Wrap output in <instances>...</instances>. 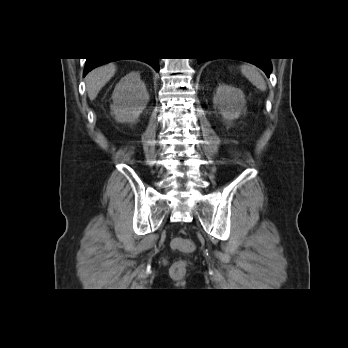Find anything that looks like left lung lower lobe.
I'll list each match as a JSON object with an SVG mask.
<instances>
[{
    "instance_id": "left-lung-lower-lobe-1",
    "label": "left lung lower lobe",
    "mask_w": 348,
    "mask_h": 348,
    "mask_svg": "<svg viewBox=\"0 0 348 348\" xmlns=\"http://www.w3.org/2000/svg\"><path fill=\"white\" fill-rule=\"evenodd\" d=\"M207 60H209V59L199 58L198 63L200 64V63L205 62ZM240 60L250 62V63L260 67L267 74L268 77L270 76V72H271V68H272L270 59H260L259 58V59H240Z\"/></svg>"
}]
</instances>
